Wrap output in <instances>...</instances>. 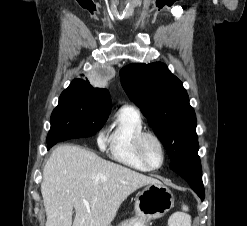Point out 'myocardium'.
<instances>
[{
	"label": "myocardium",
	"mask_w": 247,
	"mask_h": 226,
	"mask_svg": "<svg viewBox=\"0 0 247 226\" xmlns=\"http://www.w3.org/2000/svg\"><path fill=\"white\" fill-rule=\"evenodd\" d=\"M147 138H152L153 140H155L156 143L158 144L159 148H160L161 162L159 165H156V166L152 165L145 156L143 145H144V141ZM135 150H136L138 158L142 161L143 164H145L151 170H155V169L160 168L165 162L166 150H165L164 143H163L162 139L154 132L143 131V132L139 133L136 137V140H135Z\"/></svg>",
	"instance_id": "f54148a6"
}]
</instances>
